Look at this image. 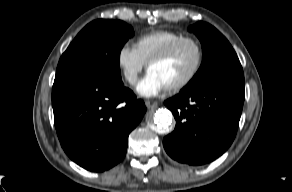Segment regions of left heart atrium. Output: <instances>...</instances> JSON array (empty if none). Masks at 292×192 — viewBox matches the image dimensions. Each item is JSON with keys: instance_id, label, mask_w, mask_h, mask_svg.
I'll list each match as a JSON object with an SVG mask.
<instances>
[{"instance_id": "obj_1", "label": "left heart atrium", "mask_w": 292, "mask_h": 192, "mask_svg": "<svg viewBox=\"0 0 292 192\" xmlns=\"http://www.w3.org/2000/svg\"><path fill=\"white\" fill-rule=\"evenodd\" d=\"M136 89L144 97H153L166 90L167 86L155 73L148 71Z\"/></svg>"}]
</instances>
